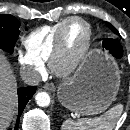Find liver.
Instances as JSON below:
<instances>
[{
  "instance_id": "liver-1",
  "label": "liver",
  "mask_w": 130,
  "mask_h": 130,
  "mask_svg": "<svg viewBox=\"0 0 130 130\" xmlns=\"http://www.w3.org/2000/svg\"><path fill=\"white\" fill-rule=\"evenodd\" d=\"M17 105V83L11 66L0 52V130H6Z\"/></svg>"
}]
</instances>
